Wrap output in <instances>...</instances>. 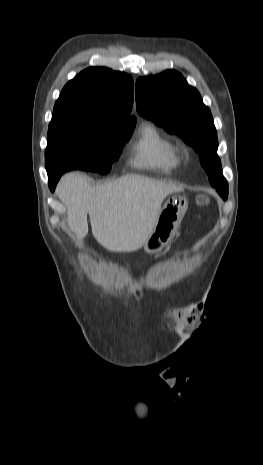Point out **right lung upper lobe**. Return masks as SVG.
<instances>
[{
    "label": "right lung upper lobe",
    "mask_w": 263,
    "mask_h": 465,
    "mask_svg": "<svg viewBox=\"0 0 263 465\" xmlns=\"http://www.w3.org/2000/svg\"><path fill=\"white\" fill-rule=\"evenodd\" d=\"M134 83L123 72L106 67L88 68L69 81L57 99L54 111L83 110L129 119Z\"/></svg>",
    "instance_id": "cb5924a9"
}]
</instances>
